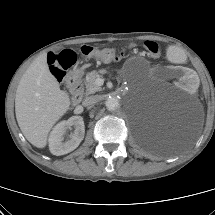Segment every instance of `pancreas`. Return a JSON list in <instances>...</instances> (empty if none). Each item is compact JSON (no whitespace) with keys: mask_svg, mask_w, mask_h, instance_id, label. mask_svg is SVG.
<instances>
[{"mask_svg":"<svg viewBox=\"0 0 215 215\" xmlns=\"http://www.w3.org/2000/svg\"><path fill=\"white\" fill-rule=\"evenodd\" d=\"M104 73H106V70L101 69L99 71L94 70L86 74V78H85L86 95L94 94L98 91H101L102 88L100 87V85L96 83V80Z\"/></svg>","mask_w":215,"mask_h":215,"instance_id":"pancreas-1","label":"pancreas"}]
</instances>
